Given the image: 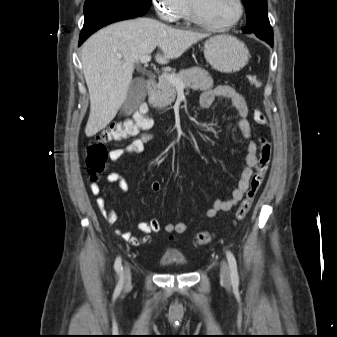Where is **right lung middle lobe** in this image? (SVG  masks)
Listing matches in <instances>:
<instances>
[{"mask_svg": "<svg viewBox=\"0 0 337 337\" xmlns=\"http://www.w3.org/2000/svg\"><path fill=\"white\" fill-rule=\"evenodd\" d=\"M111 3L147 9H149L151 6V0H86L84 4V14H86L91 9Z\"/></svg>", "mask_w": 337, "mask_h": 337, "instance_id": "dd1d6c3e", "label": "right lung middle lobe"}]
</instances>
